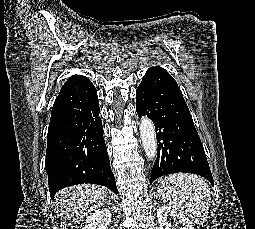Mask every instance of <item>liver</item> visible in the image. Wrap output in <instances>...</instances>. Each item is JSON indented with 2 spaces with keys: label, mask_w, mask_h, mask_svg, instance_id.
<instances>
[{
  "label": "liver",
  "mask_w": 255,
  "mask_h": 229,
  "mask_svg": "<svg viewBox=\"0 0 255 229\" xmlns=\"http://www.w3.org/2000/svg\"><path fill=\"white\" fill-rule=\"evenodd\" d=\"M61 200L58 204L64 207L68 218L76 215L81 219L108 202V189L95 184H82L62 190L58 195Z\"/></svg>",
  "instance_id": "obj_1"
}]
</instances>
